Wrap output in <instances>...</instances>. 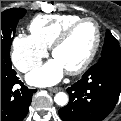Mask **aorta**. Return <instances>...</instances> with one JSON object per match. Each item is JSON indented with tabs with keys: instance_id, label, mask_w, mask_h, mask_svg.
Listing matches in <instances>:
<instances>
[{
	"instance_id": "1",
	"label": "aorta",
	"mask_w": 121,
	"mask_h": 121,
	"mask_svg": "<svg viewBox=\"0 0 121 121\" xmlns=\"http://www.w3.org/2000/svg\"><path fill=\"white\" fill-rule=\"evenodd\" d=\"M54 101L59 106H65L68 103V96L64 92H58L54 97Z\"/></svg>"
}]
</instances>
